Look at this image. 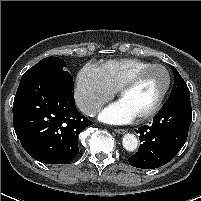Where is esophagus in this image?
I'll use <instances>...</instances> for the list:
<instances>
[{
  "label": "esophagus",
  "mask_w": 201,
  "mask_h": 201,
  "mask_svg": "<svg viewBox=\"0 0 201 201\" xmlns=\"http://www.w3.org/2000/svg\"><path fill=\"white\" fill-rule=\"evenodd\" d=\"M117 134H124L126 132L125 129H115L114 130Z\"/></svg>",
  "instance_id": "34e87169"
}]
</instances>
